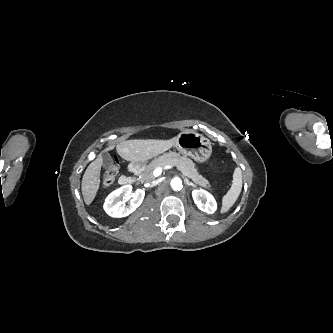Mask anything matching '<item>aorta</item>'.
I'll use <instances>...</instances> for the list:
<instances>
[{
	"label": "aorta",
	"instance_id": "aorta-1",
	"mask_svg": "<svg viewBox=\"0 0 333 333\" xmlns=\"http://www.w3.org/2000/svg\"><path fill=\"white\" fill-rule=\"evenodd\" d=\"M170 185H171L172 189L175 191H177V190L180 191L183 188L182 180L180 178L172 179Z\"/></svg>",
	"mask_w": 333,
	"mask_h": 333
}]
</instances>
